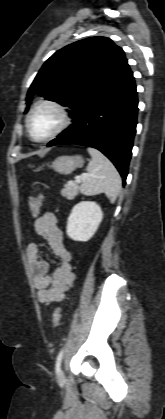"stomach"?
Masks as SVG:
<instances>
[{
	"instance_id": "stomach-1",
	"label": "stomach",
	"mask_w": 165,
	"mask_h": 419,
	"mask_svg": "<svg viewBox=\"0 0 165 419\" xmlns=\"http://www.w3.org/2000/svg\"><path fill=\"white\" fill-rule=\"evenodd\" d=\"M82 165L83 158L80 155H75L58 157L52 162L51 167L54 171L67 175Z\"/></svg>"
}]
</instances>
